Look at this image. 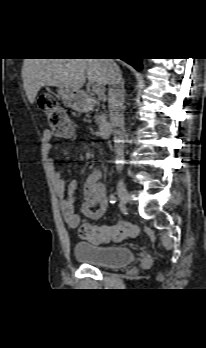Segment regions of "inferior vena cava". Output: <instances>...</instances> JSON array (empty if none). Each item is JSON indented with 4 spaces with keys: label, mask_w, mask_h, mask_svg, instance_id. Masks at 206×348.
Masks as SVG:
<instances>
[{
    "label": "inferior vena cava",
    "mask_w": 206,
    "mask_h": 348,
    "mask_svg": "<svg viewBox=\"0 0 206 348\" xmlns=\"http://www.w3.org/2000/svg\"><path fill=\"white\" fill-rule=\"evenodd\" d=\"M108 72V108L114 133L116 159L124 158V81L114 59H103Z\"/></svg>",
    "instance_id": "obj_1"
}]
</instances>
